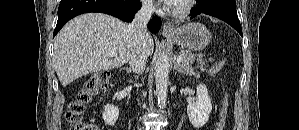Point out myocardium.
I'll return each instance as SVG.
<instances>
[{"label": "myocardium", "mask_w": 299, "mask_h": 130, "mask_svg": "<svg viewBox=\"0 0 299 130\" xmlns=\"http://www.w3.org/2000/svg\"><path fill=\"white\" fill-rule=\"evenodd\" d=\"M195 2L196 1H194V0H185V1L179 2L171 7V14L175 18L186 17L192 10Z\"/></svg>", "instance_id": "obj_1"}]
</instances>
